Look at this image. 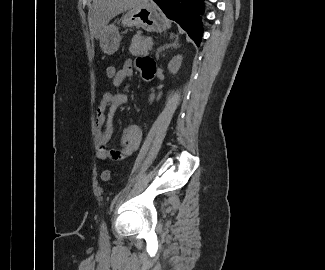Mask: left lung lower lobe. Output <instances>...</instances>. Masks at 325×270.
Here are the masks:
<instances>
[{"mask_svg":"<svg viewBox=\"0 0 325 270\" xmlns=\"http://www.w3.org/2000/svg\"><path fill=\"white\" fill-rule=\"evenodd\" d=\"M165 15L176 21L199 46L203 34V0H154Z\"/></svg>","mask_w":325,"mask_h":270,"instance_id":"left-lung-lower-lobe-1","label":"left lung lower lobe"}]
</instances>
